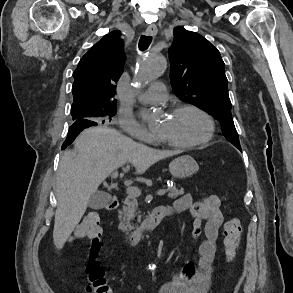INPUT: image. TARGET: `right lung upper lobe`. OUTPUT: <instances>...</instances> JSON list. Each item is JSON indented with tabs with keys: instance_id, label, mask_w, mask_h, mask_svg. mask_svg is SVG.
Instances as JSON below:
<instances>
[{
	"instance_id": "right-lung-upper-lobe-1",
	"label": "right lung upper lobe",
	"mask_w": 293,
	"mask_h": 293,
	"mask_svg": "<svg viewBox=\"0 0 293 293\" xmlns=\"http://www.w3.org/2000/svg\"><path fill=\"white\" fill-rule=\"evenodd\" d=\"M123 49L120 32L116 30L105 35L82 57L73 73L71 110L116 106L115 84L123 71Z\"/></svg>"
}]
</instances>
